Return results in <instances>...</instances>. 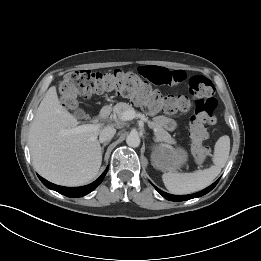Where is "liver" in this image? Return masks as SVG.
I'll return each instance as SVG.
<instances>
[{
	"label": "liver",
	"mask_w": 261,
	"mask_h": 261,
	"mask_svg": "<svg viewBox=\"0 0 261 261\" xmlns=\"http://www.w3.org/2000/svg\"><path fill=\"white\" fill-rule=\"evenodd\" d=\"M77 119L59 102L52 86L31 122L28 143L35 170L45 179L63 186H81L98 174L102 150L99 129L66 134Z\"/></svg>",
	"instance_id": "1"
}]
</instances>
